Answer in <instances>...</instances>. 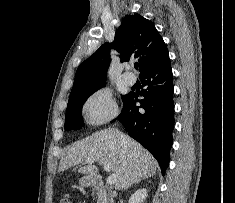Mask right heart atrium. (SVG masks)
I'll list each match as a JSON object with an SVG mask.
<instances>
[{
	"mask_svg": "<svg viewBox=\"0 0 235 203\" xmlns=\"http://www.w3.org/2000/svg\"><path fill=\"white\" fill-rule=\"evenodd\" d=\"M117 105L112 93L107 88H100L93 92L83 105V113L89 124L99 125L114 118Z\"/></svg>",
	"mask_w": 235,
	"mask_h": 203,
	"instance_id": "1",
	"label": "right heart atrium"
}]
</instances>
